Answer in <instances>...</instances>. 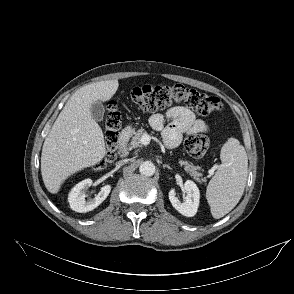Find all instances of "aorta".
I'll use <instances>...</instances> for the list:
<instances>
[{
    "instance_id": "obj_1",
    "label": "aorta",
    "mask_w": 294,
    "mask_h": 294,
    "mask_svg": "<svg viewBox=\"0 0 294 294\" xmlns=\"http://www.w3.org/2000/svg\"><path fill=\"white\" fill-rule=\"evenodd\" d=\"M139 172L144 176L150 177L155 173V165L151 161H145L140 165Z\"/></svg>"
}]
</instances>
